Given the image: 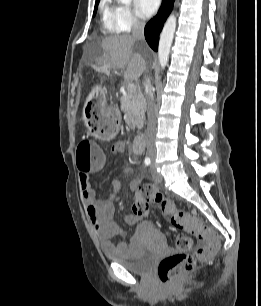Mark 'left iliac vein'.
Returning a JSON list of instances; mask_svg holds the SVG:
<instances>
[{
    "label": "left iliac vein",
    "mask_w": 261,
    "mask_h": 306,
    "mask_svg": "<svg viewBox=\"0 0 261 306\" xmlns=\"http://www.w3.org/2000/svg\"><path fill=\"white\" fill-rule=\"evenodd\" d=\"M151 174L154 182L160 183L162 181V176L156 171L154 163L151 166Z\"/></svg>",
    "instance_id": "1"
}]
</instances>
